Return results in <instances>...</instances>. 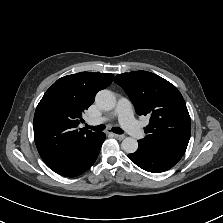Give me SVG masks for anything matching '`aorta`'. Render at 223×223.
I'll use <instances>...</instances> for the list:
<instances>
[{
  "mask_svg": "<svg viewBox=\"0 0 223 223\" xmlns=\"http://www.w3.org/2000/svg\"><path fill=\"white\" fill-rule=\"evenodd\" d=\"M95 103L101 110L111 111L115 108L116 98L111 91L102 90L97 93ZM121 146L126 153H134L138 149V141L133 137H125Z\"/></svg>",
  "mask_w": 223,
  "mask_h": 223,
  "instance_id": "1",
  "label": "aorta"
}]
</instances>
